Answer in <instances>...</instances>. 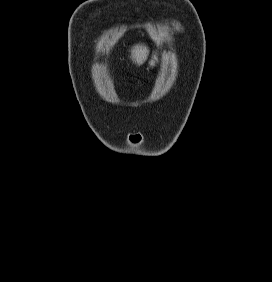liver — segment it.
Here are the masks:
<instances>
[{
  "label": "liver",
  "mask_w": 272,
  "mask_h": 282,
  "mask_svg": "<svg viewBox=\"0 0 272 282\" xmlns=\"http://www.w3.org/2000/svg\"><path fill=\"white\" fill-rule=\"evenodd\" d=\"M148 53L149 50L146 46L138 44L132 48L131 57L135 63L141 65L147 59Z\"/></svg>",
  "instance_id": "liver-1"
}]
</instances>
